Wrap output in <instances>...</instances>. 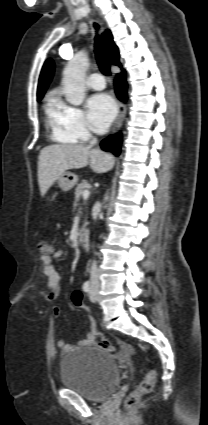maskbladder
<instances>
[{
  "instance_id": "1",
  "label": "bladder",
  "mask_w": 208,
  "mask_h": 425,
  "mask_svg": "<svg viewBox=\"0 0 208 425\" xmlns=\"http://www.w3.org/2000/svg\"><path fill=\"white\" fill-rule=\"evenodd\" d=\"M120 379L112 355L99 347L75 350L61 360L63 385L92 401L108 397Z\"/></svg>"
}]
</instances>
